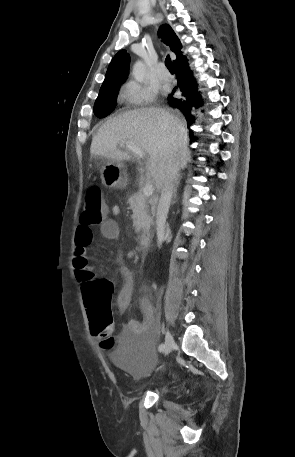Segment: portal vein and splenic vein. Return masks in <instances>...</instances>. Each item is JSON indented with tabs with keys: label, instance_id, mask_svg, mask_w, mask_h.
<instances>
[{
	"label": "portal vein and splenic vein",
	"instance_id": "1",
	"mask_svg": "<svg viewBox=\"0 0 295 457\" xmlns=\"http://www.w3.org/2000/svg\"><path fill=\"white\" fill-rule=\"evenodd\" d=\"M120 145L123 147H126L129 151H131L132 153H134L136 156H138L140 158L145 157V152L141 148L137 147L136 145H134L130 142H123V143H120ZM153 191H154V188H153L152 183L150 181L146 182L143 187V194L146 197H150V196H152Z\"/></svg>",
	"mask_w": 295,
	"mask_h": 457
}]
</instances>
